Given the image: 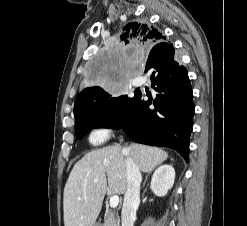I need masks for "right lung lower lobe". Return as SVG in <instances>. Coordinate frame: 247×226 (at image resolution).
<instances>
[{
	"label": "right lung lower lobe",
	"mask_w": 247,
	"mask_h": 226,
	"mask_svg": "<svg viewBox=\"0 0 247 226\" xmlns=\"http://www.w3.org/2000/svg\"><path fill=\"white\" fill-rule=\"evenodd\" d=\"M148 70L152 71L154 98L150 95L144 101L142 93L135 91L133 98L98 127L122 128L135 142L173 148L188 162L194 105L187 70L166 42L151 48L145 72Z\"/></svg>",
	"instance_id": "obj_1"
}]
</instances>
